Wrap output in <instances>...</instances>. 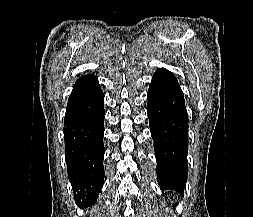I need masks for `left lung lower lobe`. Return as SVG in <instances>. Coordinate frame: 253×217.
Masks as SVG:
<instances>
[{"label":"left lung lower lobe","instance_id":"obj_1","mask_svg":"<svg viewBox=\"0 0 253 217\" xmlns=\"http://www.w3.org/2000/svg\"><path fill=\"white\" fill-rule=\"evenodd\" d=\"M147 98L159 185L183 194L188 173V115L183 92L176 77L160 68L152 77Z\"/></svg>","mask_w":253,"mask_h":217}]
</instances>
